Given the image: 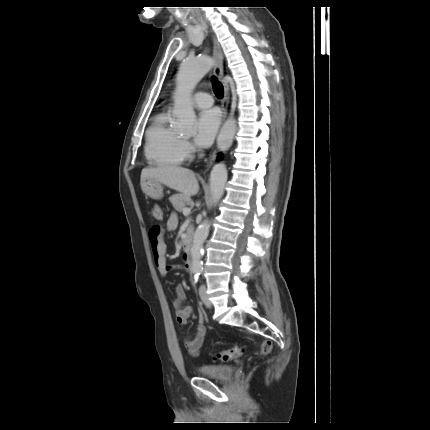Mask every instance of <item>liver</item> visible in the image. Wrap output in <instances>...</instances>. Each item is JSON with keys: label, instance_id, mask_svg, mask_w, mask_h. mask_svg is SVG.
Instances as JSON below:
<instances>
[{"label": "liver", "instance_id": "6515ba94", "mask_svg": "<svg viewBox=\"0 0 430 430\" xmlns=\"http://www.w3.org/2000/svg\"><path fill=\"white\" fill-rule=\"evenodd\" d=\"M147 178L156 179L187 196L196 195L199 191L195 173L183 167L164 165L155 168H144L141 172V182Z\"/></svg>", "mask_w": 430, "mask_h": 430}]
</instances>
